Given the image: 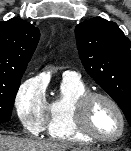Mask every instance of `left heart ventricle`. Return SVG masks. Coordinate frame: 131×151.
Masks as SVG:
<instances>
[{"instance_id":"obj_1","label":"left heart ventricle","mask_w":131,"mask_h":151,"mask_svg":"<svg viewBox=\"0 0 131 151\" xmlns=\"http://www.w3.org/2000/svg\"><path fill=\"white\" fill-rule=\"evenodd\" d=\"M92 130L106 138L116 136L120 130V120L113 107L105 101H96L90 111Z\"/></svg>"}]
</instances>
